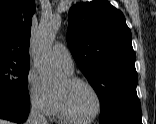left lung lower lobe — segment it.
Masks as SVG:
<instances>
[{
  "label": "left lung lower lobe",
  "mask_w": 156,
  "mask_h": 124,
  "mask_svg": "<svg viewBox=\"0 0 156 124\" xmlns=\"http://www.w3.org/2000/svg\"><path fill=\"white\" fill-rule=\"evenodd\" d=\"M100 124H142V120H134L129 118H113L100 121Z\"/></svg>",
  "instance_id": "0a47b994"
}]
</instances>
